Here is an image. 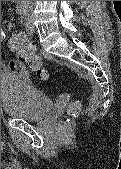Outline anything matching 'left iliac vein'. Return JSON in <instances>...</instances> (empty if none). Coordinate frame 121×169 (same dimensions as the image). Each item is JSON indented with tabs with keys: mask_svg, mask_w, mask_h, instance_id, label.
<instances>
[{
	"mask_svg": "<svg viewBox=\"0 0 121 169\" xmlns=\"http://www.w3.org/2000/svg\"><path fill=\"white\" fill-rule=\"evenodd\" d=\"M26 30L28 34L34 33V26L32 24V20L29 17L26 19Z\"/></svg>",
	"mask_w": 121,
	"mask_h": 169,
	"instance_id": "1",
	"label": "left iliac vein"
}]
</instances>
